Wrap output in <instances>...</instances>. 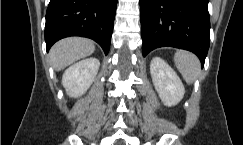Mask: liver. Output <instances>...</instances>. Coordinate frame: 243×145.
Here are the masks:
<instances>
[{
    "instance_id": "6515ba94",
    "label": "liver",
    "mask_w": 243,
    "mask_h": 145,
    "mask_svg": "<svg viewBox=\"0 0 243 145\" xmlns=\"http://www.w3.org/2000/svg\"><path fill=\"white\" fill-rule=\"evenodd\" d=\"M94 43L85 38L70 37L58 41L50 50L49 56L56 71H61L72 63L91 55Z\"/></svg>"
}]
</instances>
